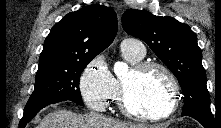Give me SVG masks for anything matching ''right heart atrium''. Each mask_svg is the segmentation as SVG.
<instances>
[{
    "instance_id": "d8ad5b80",
    "label": "right heart atrium",
    "mask_w": 221,
    "mask_h": 128,
    "mask_svg": "<svg viewBox=\"0 0 221 128\" xmlns=\"http://www.w3.org/2000/svg\"><path fill=\"white\" fill-rule=\"evenodd\" d=\"M80 93L94 112H103L108 107V100L117 93V86L106 59L99 54L91 58L82 71Z\"/></svg>"
}]
</instances>
